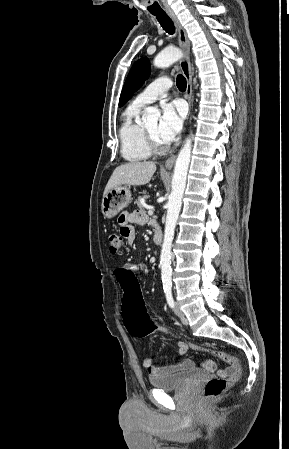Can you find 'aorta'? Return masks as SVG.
<instances>
[{
    "label": "aorta",
    "mask_w": 289,
    "mask_h": 449,
    "mask_svg": "<svg viewBox=\"0 0 289 449\" xmlns=\"http://www.w3.org/2000/svg\"><path fill=\"white\" fill-rule=\"evenodd\" d=\"M183 56L179 48H166L154 59V65L163 68L173 64ZM160 112L157 108L148 107L142 116L143 121L157 120ZM192 140L187 138L176 159L174 175L172 178V191L167 203V216L165 224L164 240L160 255L161 277L164 288H171V248L174 231L182 205V198L186 186L188 168L190 164Z\"/></svg>",
    "instance_id": "762f6f07"
}]
</instances>
